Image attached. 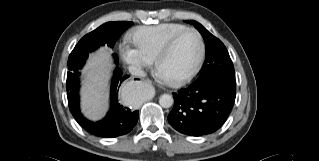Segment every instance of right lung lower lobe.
Listing matches in <instances>:
<instances>
[{"instance_id": "1", "label": "right lung lower lobe", "mask_w": 319, "mask_h": 161, "mask_svg": "<svg viewBox=\"0 0 319 161\" xmlns=\"http://www.w3.org/2000/svg\"><path fill=\"white\" fill-rule=\"evenodd\" d=\"M117 60V59H116ZM129 75L122 76V72L117 68L111 84V108L107 116L98 122L87 120L80 112L79 108V82L68 92L69 109L80 126L89 133L104 137L112 138L129 133L138 121V111H131L119 103L118 90L121 83Z\"/></svg>"}]
</instances>
